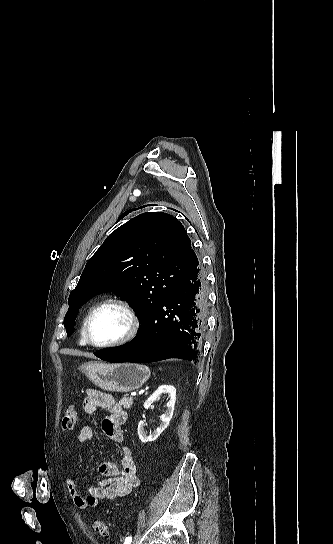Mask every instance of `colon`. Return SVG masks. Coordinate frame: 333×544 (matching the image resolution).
<instances>
[{"mask_svg": "<svg viewBox=\"0 0 333 544\" xmlns=\"http://www.w3.org/2000/svg\"><path fill=\"white\" fill-rule=\"evenodd\" d=\"M78 419L77 410L74 406H71L65 413L62 420V427L65 430H71L74 428ZM93 528L101 537L108 538L110 534L109 525L102 520H95Z\"/></svg>", "mask_w": 333, "mask_h": 544, "instance_id": "obj_1", "label": "colon"}]
</instances>
